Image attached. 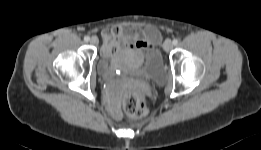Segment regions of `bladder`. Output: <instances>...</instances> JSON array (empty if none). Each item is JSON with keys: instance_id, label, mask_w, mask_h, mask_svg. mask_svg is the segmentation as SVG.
Wrapping results in <instances>:
<instances>
[{"instance_id": "1", "label": "bladder", "mask_w": 261, "mask_h": 150, "mask_svg": "<svg viewBox=\"0 0 261 150\" xmlns=\"http://www.w3.org/2000/svg\"><path fill=\"white\" fill-rule=\"evenodd\" d=\"M98 72L102 76L120 74H139L155 82L166 78L162 54L158 48L142 53L128 45L104 48L98 61Z\"/></svg>"}]
</instances>
